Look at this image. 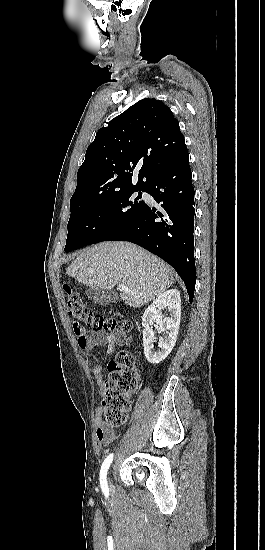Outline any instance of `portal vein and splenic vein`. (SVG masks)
Segmentation results:
<instances>
[{"label": "portal vein and splenic vein", "instance_id": "1", "mask_svg": "<svg viewBox=\"0 0 265 550\" xmlns=\"http://www.w3.org/2000/svg\"><path fill=\"white\" fill-rule=\"evenodd\" d=\"M118 289H119L120 291H122V292H130V291L128 290V288L126 287V285H124V284H119V285H118Z\"/></svg>", "mask_w": 265, "mask_h": 550}]
</instances>
